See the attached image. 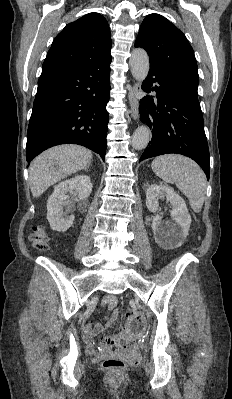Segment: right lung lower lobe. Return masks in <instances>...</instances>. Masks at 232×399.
Instances as JSON below:
<instances>
[{
	"instance_id": "obj_1",
	"label": "right lung lower lobe",
	"mask_w": 232,
	"mask_h": 399,
	"mask_svg": "<svg viewBox=\"0 0 232 399\" xmlns=\"http://www.w3.org/2000/svg\"><path fill=\"white\" fill-rule=\"evenodd\" d=\"M110 63L42 69L27 132L28 163L47 148L67 143L83 145L105 160Z\"/></svg>"
}]
</instances>
